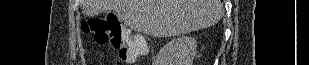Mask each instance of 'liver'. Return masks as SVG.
Here are the masks:
<instances>
[{"label": "liver", "instance_id": "liver-1", "mask_svg": "<svg viewBox=\"0 0 309 65\" xmlns=\"http://www.w3.org/2000/svg\"><path fill=\"white\" fill-rule=\"evenodd\" d=\"M221 0H85L83 13L93 17L114 11L135 31L169 37L205 29L222 17Z\"/></svg>", "mask_w": 309, "mask_h": 65}]
</instances>
